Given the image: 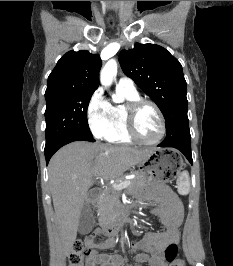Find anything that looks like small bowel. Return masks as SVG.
Here are the masks:
<instances>
[{
    "mask_svg": "<svg viewBox=\"0 0 233 266\" xmlns=\"http://www.w3.org/2000/svg\"><path fill=\"white\" fill-rule=\"evenodd\" d=\"M150 198L155 202L152 213L158 215L164 225L161 232H148L141 240L132 242L133 251L138 253L133 266L148 262L150 266H168L162 257L163 251L170 244H177L180 239V227L183 219V207L177 195L168 187H160ZM115 245L113 238L91 243L85 266H131L124 263L118 254L98 253Z\"/></svg>",
    "mask_w": 233,
    "mask_h": 266,
    "instance_id": "obj_1",
    "label": "small bowel"
}]
</instances>
